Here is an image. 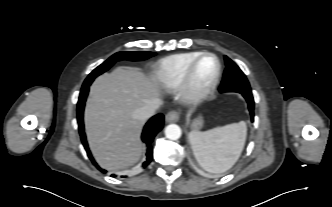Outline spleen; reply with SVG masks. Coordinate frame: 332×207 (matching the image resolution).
Instances as JSON below:
<instances>
[{
    "label": "spleen",
    "mask_w": 332,
    "mask_h": 207,
    "mask_svg": "<svg viewBox=\"0 0 332 207\" xmlns=\"http://www.w3.org/2000/svg\"><path fill=\"white\" fill-rule=\"evenodd\" d=\"M246 134V123L241 121L204 132L193 130L189 141L197 162L204 170L223 173L239 159Z\"/></svg>",
    "instance_id": "spleen-1"
}]
</instances>
